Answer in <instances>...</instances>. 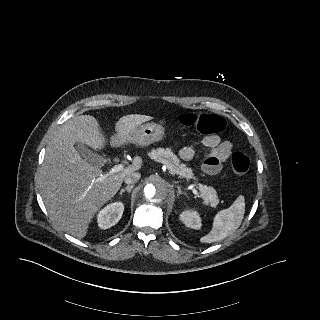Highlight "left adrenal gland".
<instances>
[{
  "label": "left adrenal gland",
  "instance_id": "left-adrenal-gland-1",
  "mask_svg": "<svg viewBox=\"0 0 320 320\" xmlns=\"http://www.w3.org/2000/svg\"><path fill=\"white\" fill-rule=\"evenodd\" d=\"M177 188H178V194H177L178 196H179V195H182V194H185V193H183V192L181 191L180 187H177Z\"/></svg>",
  "mask_w": 320,
  "mask_h": 320
}]
</instances>
